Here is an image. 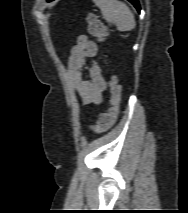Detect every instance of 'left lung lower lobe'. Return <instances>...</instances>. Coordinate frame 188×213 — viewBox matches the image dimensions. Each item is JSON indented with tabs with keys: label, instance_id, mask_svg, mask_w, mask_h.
Listing matches in <instances>:
<instances>
[{
	"label": "left lung lower lobe",
	"instance_id": "left-lung-lower-lobe-1",
	"mask_svg": "<svg viewBox=\"0 0 188 213\" xmlns=\"http://www.w3.org/2000/svg\"><path fill=\"white\" fill-rule=\"evenodd\" d=\"M47 1H53V0H47ZM128 1H130L136 7V9L138 11H140V6H139L138 0H128Z\"/></svg>",
	"mask_w": 188,
	"mask_h": 213
}]
</instances>
